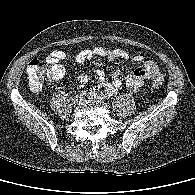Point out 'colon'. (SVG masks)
I'll use <instances>...</instances> for the list:
<instances>
[{"label":"colon","instance_id":"obj_1","mask_svg":"<svg viewBox=\"0 0 195 195\" xmlns=\"http://www.w3.org/2000/svg\"><path fill=\"white\" fill-rule=\"evenodd\" d=\"M27 74L30 87L33 90H39L46 81L61 78L64 74V68L59 63L32 60L27 67ZM162 81L163 78H156L151 85L153 88H159Z\"/></svg>","mask_w":195,"mask_h":195}]
</instances>
